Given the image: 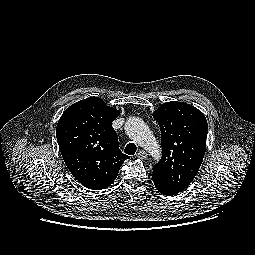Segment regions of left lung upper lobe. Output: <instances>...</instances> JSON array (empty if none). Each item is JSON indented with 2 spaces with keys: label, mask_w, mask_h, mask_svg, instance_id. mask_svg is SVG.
<instances>
[{
  "label": "left lung upper lobe",
  "mask_w": 255,
  "mask_h": 255,
  "mask_svg": "<svg viewBox=\"0 0 255 255\" xmlns=\"http://www.w3.org/2000/svg\"><path fill=\"white\" fill-rule=\"evenodd\" d=\"M153 117L161 130L162 158L154 165L152 177L183 191L203 161L207 120L196 107L176 101L160 106Z\"/></svg>",
  "instance_id": "1"
}]
</instances>
